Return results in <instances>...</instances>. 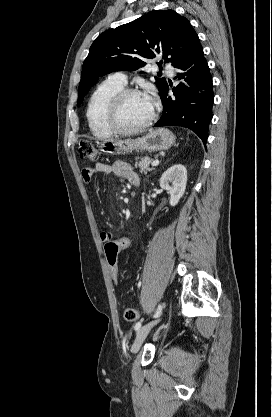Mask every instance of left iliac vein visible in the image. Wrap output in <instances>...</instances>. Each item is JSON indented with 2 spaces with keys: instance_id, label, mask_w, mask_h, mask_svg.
<instances>
[{
  "instance_id": "4c4485c4",
  "label": "left iliac vein",
  "mask_w": 272,
  "mask_h": 417,
  "mask_svg": "<svg viewBox=\"0 0 272 417\" xmlns=\"http://www.w3.org/2000/svg\"><path fill=\"white\" fill-rule=\"evenodd\" d=\"M158 322H159V320L152 321V322H150V323L142 326L138 330L137 335H136V338H135L134 343L132 345V352L133 353H136L140 349V347L143 344L145 338L147 337L149 331Z\"/></svg>"
}]
</instances>
